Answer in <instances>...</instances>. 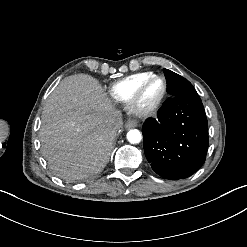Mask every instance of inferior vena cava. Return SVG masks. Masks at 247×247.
Here are the masks:
<instances>
[{"label":"inferior vena cava","mask_w":247,"mask_h":247,"mask_svg":"<svg viewBox=\"0 0 247 247\" xmlns=\"http://www.w3.org/2000/svg\"><path fill=\"white\" fill-rule=\"evenodd\" d=\"M121 125L119 124H115L112 128H111V132L113 133L114 137H116L118 135V133L121 131ZM108 129H110L108 127Z\"/></svg>","instance_id":"1"}]
</instances>
